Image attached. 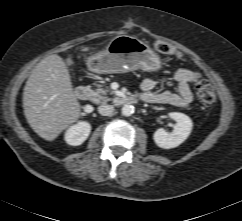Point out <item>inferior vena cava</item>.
<instances>
[{"label": "inferior vena cava", "instance_id": "inferior-vena-cava-1", "mask_svg": "<svg viewBox=\"0 0 242 221\" xmlns=\"http://www.w3.org/2000/svg\"><path fill=\"white\" fill-rule=\"evenodd\" d=\"M98 111L103 116H109L114 112V106L103 104L98 107Z\"/></svg>", "mask_w": 242, "mask_h": 221}]
</instances>
